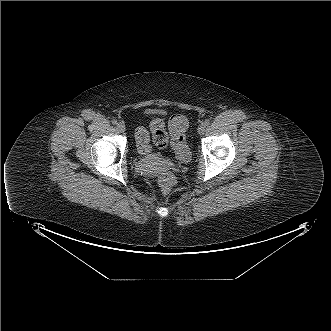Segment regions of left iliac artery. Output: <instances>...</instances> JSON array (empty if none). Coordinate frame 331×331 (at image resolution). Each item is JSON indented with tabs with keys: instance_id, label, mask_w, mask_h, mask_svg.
<instances>
[{
	"instance_id": "1",
	"label": "left iliac artery",
	"mask_w": 331,
	"mask_h": 331,
	"mask_svg": "<svg viewBox=\"0 0 331 331\" xmlns=\"http://www.w3.org/2000/svg\"><path fill=\"white\" fill-rule=\"evenodd\" d=\"M205 126H208L210 124V121L207 119L204 121Z\"/></svg>"
}]
</instances>
